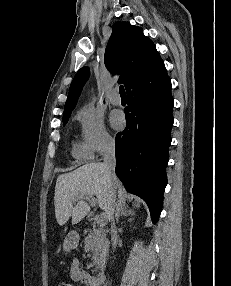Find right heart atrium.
Masks as SVG:
<instances>
[{"mask_svg":"<svg viewBox=\"0 0 231 286\" xmlns=\"http://www.w3.org/2000/svg\"><path fill=\"white\" fill-rule=\"evenodd\" d=\"M83 144L92 155L102 154L114 147V139L107 131L103 116L90 106L77 113Z\"/></svg>","mask_w":231,"mask_h":286,"instance_id":"obj_1","label":"right heart atrium"}]
</instances>
